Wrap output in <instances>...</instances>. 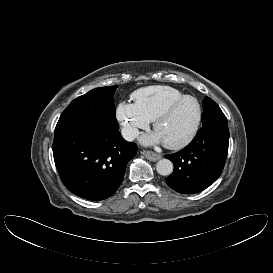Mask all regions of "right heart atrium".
<instances>
[{
	"mask_svg": "<svg viewBox=\"0 0 273 273\" xmlns=\"http://www.w3.org/2000/svg\"><path fill=\"white\" fill-rule=\"evenodd\" d=\"M115 114L124 137L129 140L136 138L140 130L146 129L150 124V121L131 103H119Z\"/></svg>",
	"mask_w": 273,
	"mask_h": 273,
	"instance_id": "obj_1",
	"label": "right heart atrium"
}]
</instances>
